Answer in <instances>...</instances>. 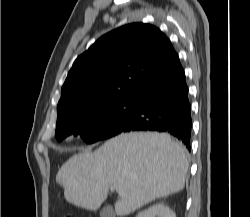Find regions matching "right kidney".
I'll list each match as a JSON object with an SVG mask.
<instances>
[{"label": "right kidney", "mask_w": 250, "mask_h": 217, "mask_svg": "<svg viewBox=\"0 0 250 217\" xmlns=\"http://www.w3.org/2000/svg\"><path fill=\"white\" fill-rule=\"evenodd\" d=\"M136 217H176V215L166 204L158 203L143 210Z\"/></svg>", "instance_id": "1"}]
</instances>
